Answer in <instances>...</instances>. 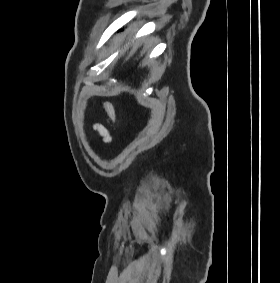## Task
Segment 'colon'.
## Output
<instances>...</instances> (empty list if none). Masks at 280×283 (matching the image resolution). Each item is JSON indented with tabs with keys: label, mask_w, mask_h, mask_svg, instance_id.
<instances>
[{
	"label": "colon",
	"mask_w": 280,
	"mask_h": 283,
	"mask_svg": "<svg viewBox=\"0 0 280 283\" xmlns=\"http://www.w3.org/2000/svg\"><path fill=\"white\" fill-rule=\"evenodd\" d=\"M105 110H106L109 118L112 121H114V119H115L114 108H113V105L110 102H105Z\"/></svg>",
	"instance_id": "obj_1"
}]
</instances>
